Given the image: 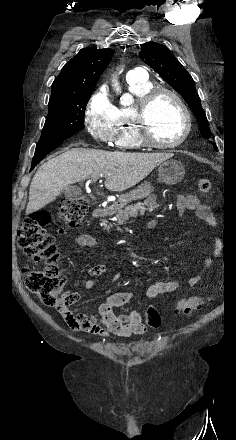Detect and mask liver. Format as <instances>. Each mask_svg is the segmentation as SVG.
<instances>
[{
	"label": "liver",
	"mask_w": 236,
	"mask_h": 440,
	"mask_svg": "<svg viewBox=\"0 0 236 440\" xmlns=\"http://www.w3.org/2000/svg\"><path fill=\"white\" fill-rule=\"evenodd\" d=\"M172 153L109 152L73 148L39 167L29 189L26 215L54 201L70 184L105 177V187L121 192L133 187Z\"/></svg>",
	"instance_id": "1"
}]
</instances>
